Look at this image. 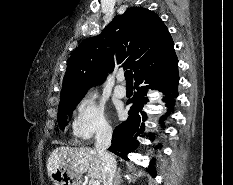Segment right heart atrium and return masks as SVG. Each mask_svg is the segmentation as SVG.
Listing matches in <instances>:
<instances>
[{"label":"right heart atrium","mask_w":233,"mask_h":185,"mask_svg":"<svg viewBox=\"0 0 233 185\" xmlns=\"http://www.w3.org/2000/svg\"><path fill=\"white\" fill-rule=\"evenodd\" d=\"M71 129L74 138L81 142L110 132L105 108L95 96H86L80 100L73 114Z\"/></svg>","instance_id":"1"}]
</instances>
